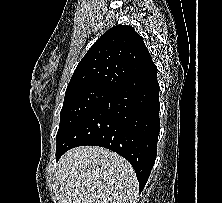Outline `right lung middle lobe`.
<instances>
[{
	"mask_svg": "<svg viewBox=\"0 0 222 203\" xmlns=\"http://www.w3.org/2000/svg\"><path fill=\"white\" fill-rule=\"evenodd\" d=\"M112 92L99 87L66 90L56 142L77 121L106 100Z\"/></svg>",
	"mask_w": 222,
	"mask_h": 203,
	"instance_id": "obj_1",
	"label": "right lung middle lobe"
}]
</instances>
